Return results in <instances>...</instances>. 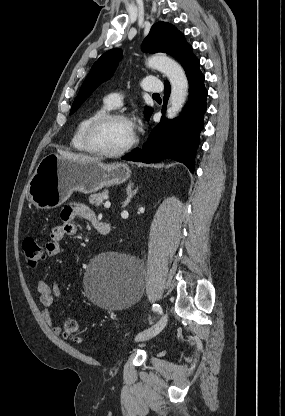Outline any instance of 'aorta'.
Here are the masks:
<instances>
[{
	"label": "aorta",
	"instance_id": "762f6f07",
	"mask_svg": "<svg viewBox=\"0 0 285 416\" xmlns=\"http://www.w3.org/2000/svg\"><path fill=\"white\" fill-rule=\"evenodd\" d=\"M147 66L162 72L169 80L171 94L167 106V117L172 119L183 107L188 95V80L182 67L166 56H153Z\"/></svg>",
	"mask_w": 285,
	"mask_h": 416
}]
</instances>
